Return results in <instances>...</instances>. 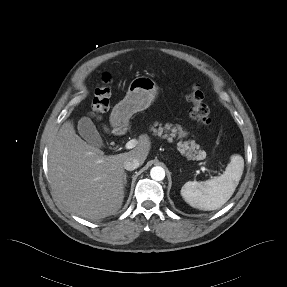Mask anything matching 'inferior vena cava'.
<instances>
[{
    "instance_id": "1",
    "label": "inferior vena cava",
    "mask_w": 287,
    "mask_h": 287,
    "mask_svg": "<svg viewBox=\"0 0 287 287\" xmlns=\"http://www.w3.org/2000/svg\"><path fill=\"white\" fill-rule=\"evenodd\" d=\"M140 162L137 158L133 157H128L124 162H123V167L124 169L128 171L135 170L139 167Z\"/></svg>"
}]
</instances>
